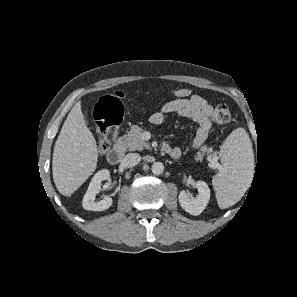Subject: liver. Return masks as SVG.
Segmentation results:
<instances>
[{
	"instance_id": "obj_1",
	"label": "liver",
	"mask_w": 297,
	"mask_h": 297,
	"mask_svg": "<svg viewBox=\"0 0 297 297\" xmlns=\"http://www.w3.org/2000/svg\"><path fill=\"white\" fill-rule=\"evenodd\" d=\"M97 159L96 140L86 126L79 101L67 116L54 146L52 171L59 193L71 196L93 174Z\"/></svg>"
}]
</instances>
